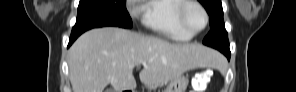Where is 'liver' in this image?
<instances>
[{
	"label": "liver",
	"mask_w": 296,
	"mask_h": 92,
	"mask_svg": "<svg viewBox=\"0 0 296 92\" xmlns=\"http://www.w3.org/2000/svg\"><path fill=\"white\" fill-rule=\"evenodd\" d=\"M218 54L198 43H170L155 36L117 27L92 29L69 49L68 65L73 92L135 90V66L146 62L140 81L164 85L195 68L216 67Z\"/></svg>",
	"instance_id": "6515ba94"
}]
</instances>
